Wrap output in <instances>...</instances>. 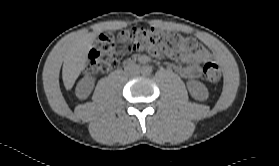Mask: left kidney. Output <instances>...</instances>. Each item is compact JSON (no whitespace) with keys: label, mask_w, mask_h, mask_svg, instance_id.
<instances>
[{"label":"left kidney","mask_w":279,"mask_h":166,"mask_svg":"<svg viewBox=\"0 0 279 166\" xmlns=\"http://www.w3.org/2000/svg\"><path fill=\"white\" fill-rule=\"evenodd\" d=\"M187 88L190 95L196 100H205L208 98V89L199 81H189L187 83Z\"/></svg>","instance_id":"5707ae66"}]
</instances>
